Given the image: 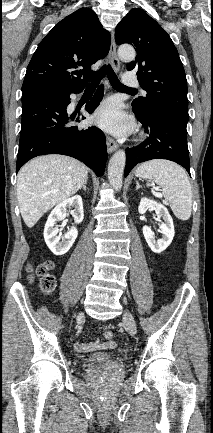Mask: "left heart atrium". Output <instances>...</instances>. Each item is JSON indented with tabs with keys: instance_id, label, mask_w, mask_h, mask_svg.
Listing matches in <instances>:
<instances>
[{
	"instance_id": "obj_1",
	"label": "left heart atrium",
	"mask_w": 213,
	"mask_h": 433,
	"mask_svg": "<svg viewBox=\"0 0 213 433\" xmlns=\"http://www.w3.org/2000/svg\"><path fill=\"white\" fill-rule=\"evenodd\" d=\"M94 122L115 135H124L132 128L130 119L114 100L106 101L94 114Z\"/></svg>"
}]
</instances>
